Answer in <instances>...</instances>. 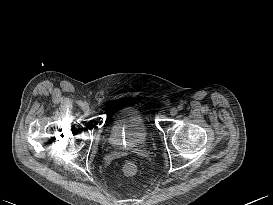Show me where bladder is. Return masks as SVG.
<instances>
[{"label":"bladder","mask_w":273,"mask_h":205,"mask_svg":"<svg viewBox=\"0 0 273 205\" xmlns=\"http://www.w3.org/2000/svg\"><path fill=\"white\" fill-rule=\"evenodd\" d=\"M150 135L148 121L137 106H124L111 116L108 143L118 150H130L146 143Z\"/></svg>","instance_id":"obj_1"}]
</instances>
